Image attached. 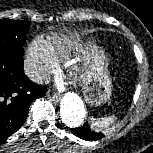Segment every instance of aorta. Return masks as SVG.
<instances>
[{"mask_svg": "<svg viewBox=\"0 0 153 153\" xmlns=\"http://www.w3.org/2000/svg\"><path fill=\"white\" fill-rule=\"evenodd\" d=\"M60 115L67 126H80L85 118V108L82 100L75 93L65 94L60 103Z\"/></svg>", "mask_w": 153, "mask_h": 153, "instance_id": "762f6f07", "label": "aorta"}]
</instances>
